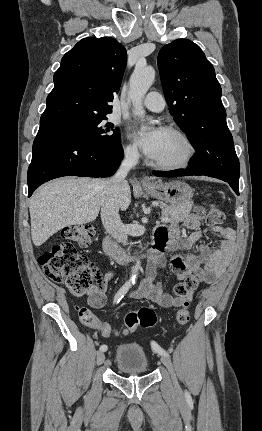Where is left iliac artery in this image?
Segmentation results:
<instances>
[{
	"mask_svg": "<svg viewBox=\"0 0 262 431\" xmlns=\"http://www.w3.org/2000/svg\"><path fill=\"white\" fill-rule=\"evenodd\" d=\"M152 348L158 352L160 355H167L168 353H166V351L164 349H162L158 344L156 343H152Z\"/></svg>",
	"mask_w": 262,
	"mask_h": 431,
	"instance_id": "1",
	"label": "left iliac artery"
}]
</instances>
